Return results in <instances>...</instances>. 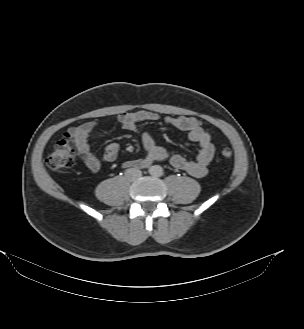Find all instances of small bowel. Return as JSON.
Listing matches in <instances>:
<instances>
[{"label":"small bowel","instance_id":"c3829d8e","mask_svg":"<svg viewBox=\"0 0 304 329\" xmlns=\"http://www.w3.org/2000/svg\"><path fill=\"white\" fill-rule=\"evenodd\" d=\"M160 116L151 111L123 112L118 115L117 121L123 129L139 134L146 155L141 159L124 162L125 167H146L155 161H169L171 165L191 176L200 178L208 173L214 155V144L211 135L204 129L202 122L195 117L167 116L164 122L188 134L190 141L199 145L196 160L186 159L180 155H171L168 150L158 145L154 137L147 131L139 129L142 122L157 121ZM97 121H89L70 129L79 157L93 172L99 171L102 162H113L119 154V145L110 143L104 147L101 157L94 156L87 143L88 137L98 128Z\"/></svg>","mask_w":304,"mask_h":329}]
</instances>
